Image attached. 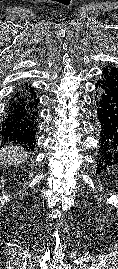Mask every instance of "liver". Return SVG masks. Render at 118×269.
<instances>
[{"mask_svg": "<svg viewBox=\"0 0 118 269\" xmlns=\"http://www.w3.org/2000/svg\"><path fill=\"white\" fill-rule=\"evenodd\" d=\"M27 152L18 146H7L0 150V160L4 166H17L26 162Z\"/></svg>", "mask_w": 118, "mask_h": 269, "instance_id": "liver-1", "label": "liver"}]
</instances>
